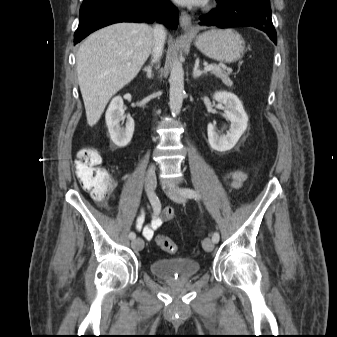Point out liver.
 <instances>
[{"instance_id":"1","label":"liver","mask_w":337,"mask_h":337,"mask_svg":"<svg viewBox=\"0 0 337 337\" xmlns=\"http://www.w3.org/2000/svg\"><path fill=\"white\" fill-rule=\"evenodd\" d=\"M153 45V29L138 23L105 27L80 45L77 76L89 126L99 121L110 98L137 76Z\"/></svg>"}]
</instances>
